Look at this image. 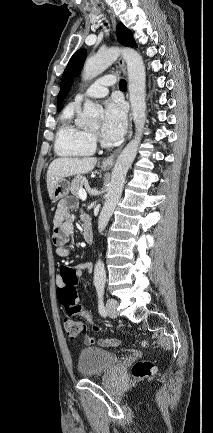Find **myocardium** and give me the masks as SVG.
Segmentation results:
<instances>
[{
    "mask_svg": "<svg viewBox=\"0 0 213 433\" xmlns=\"http://www.w3.org/2000/svg\"><path fill=\"white\" fill-rule=\"evenodd\" d=\"M90 134H91L92 138L94 139V141H99V136L96 132H91Z\"/></svg>",
    "mask_w": 213,
    "mask_h": 433,
    "instance_id": "obj_1",
    "label": "myocardium"
}]
</instances>
